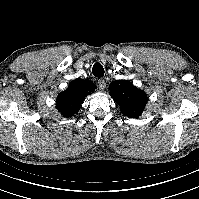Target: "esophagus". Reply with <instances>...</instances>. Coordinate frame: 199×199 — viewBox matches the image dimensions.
Returning a JSON list of instances; mask_svg holds the SVG:
<instances>
[{"instance_id":"esophagus-1","label":"esophagus","mask_w":199,"mask_h":199,"mask_svg":"<svg viewBox=\"0 0 199 199\" xmlns=\"http://www.w3.org/2000/svg\"><path fill=\"white\" fill-rule=\"evenodd\" d=\"M98 86L101 90H104L106 88V81L104 79H98Z\"/></svg>"}]
</instances>
